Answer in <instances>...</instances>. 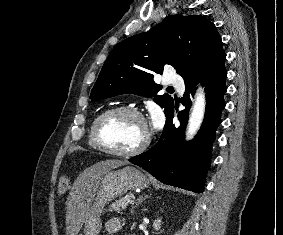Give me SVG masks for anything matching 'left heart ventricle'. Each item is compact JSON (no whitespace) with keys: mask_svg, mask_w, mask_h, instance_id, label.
Instances as JSON below:
<instances>
[{"mask_svg":"<svg viewBox=\"0 0 283 235\" xmlns=\"http://www.w3.org/2000/svg\"><path fill=\"white\" fill-rule=\"evenodd\" d=\"M145 137V127L135 116L121 114L108 119L101 128V138L110 148L127 151L137 147Z\"/></svg>","mask_w":283,"mask_h":235,"instance_id":"left-heart-ventricle-1","label":"left heart ventricle"}]
</instances>
